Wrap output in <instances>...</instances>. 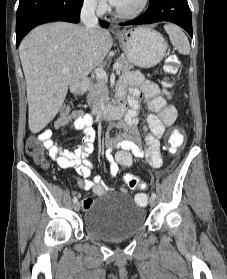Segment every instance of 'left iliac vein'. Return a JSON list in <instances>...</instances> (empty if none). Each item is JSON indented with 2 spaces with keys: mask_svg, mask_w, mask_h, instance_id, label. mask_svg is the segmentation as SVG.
Returning a JSON list of instances; mask_svg holds the SVG:
<instances>
[{
  "mask_svg": "<svg viewBox=\"0 0 227 279\" xmlns=\"http://www.w3.org/2000/svg\"><path fill=\"white\" fill-rule=\"evenodd\" d=\"M155 204H156L155 198H154V197H151V198L149 199V205H150V206H155Z\"/></svg>",
  "mask_w": 227,
  "mask_h": 279,
  "instance_id": "left-iliac-vein-1",
  "label": "left iliac vein"
}]
</instances>
